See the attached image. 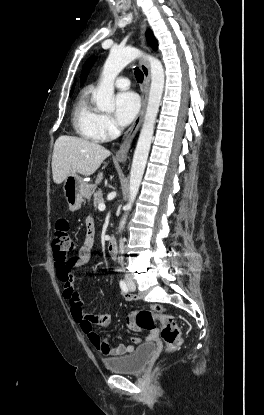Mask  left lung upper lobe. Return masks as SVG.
Returning a JSON list of instances; mask_svg holds the SVG:
<instances>
[{"instance_id": "left-lung-upper-lobe-1", "label": "left lung upper lobe", "mask_w": 264, "mask_h": 415, "mask_svg": "<svg viewBox=\"0 0 264 415\" xmlns=\"http://www.w3.org/2000/svg\"><path fill=\"white\" fill-rule=\"evenodd\" d=\"M146 37H147V41L148 43L154 48H157V41L155 39V37L153 36L152 32L150 30H147L146 32ZM95 61L94 57L89 58L86 63L84 64L83 70H82V82H84V80L86 79L93 63Z\"/></svg>"}]
</instances>
